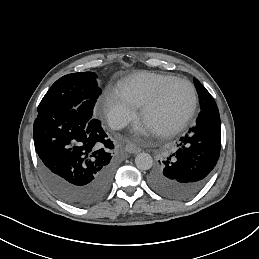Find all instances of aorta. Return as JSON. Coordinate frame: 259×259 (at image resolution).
<instances>
[{
	"label": "aorta",
	"mask_w": 259,
	"mask_h": 259,
	"mask_svg": "<svg viewBox=\"0 0 259 259\" xmlns=\"http://www.w3.org/2000/svg\"><path fill=\"white\" fill-rule=\"evenodd\" d=\"M135 164L140 170H149L153 165V159L148 153H139L135 157Z\"/></svg>",
	"instance_id": "obj_1"
}]
</instances>
